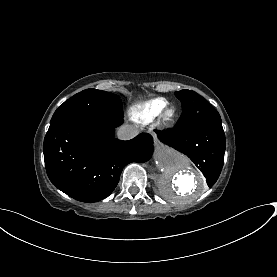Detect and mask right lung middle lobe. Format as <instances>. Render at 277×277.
Here are the masks:
<instances>
[{"mask_svg":"<svg viewBox=\"0 0 277 277\" xmlns=\"http://www.w3.org/2000/svg\"><path fill=\"white\" fill-rule=\"evenodd\" d=\"M120 116H123V112L119 96L101 90L86 89L58 107L48 131L76 120Z\"/></svg>","mask_w":277,"mask_h":277,"instance_id":"1","label":"right lung middle lobe"}]
</instances>
